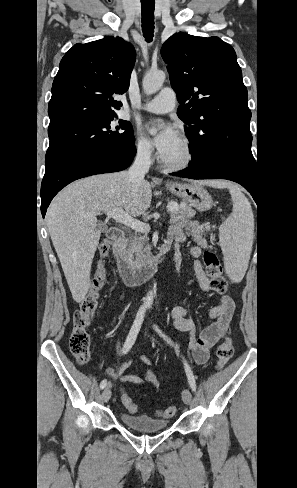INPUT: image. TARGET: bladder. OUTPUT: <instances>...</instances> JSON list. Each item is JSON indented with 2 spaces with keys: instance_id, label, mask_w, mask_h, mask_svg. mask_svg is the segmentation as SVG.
I'll list each match as a JSON object with an SVG mask.
<instances>
[{
  "instance_id": "1",
  "label": "bladder",
  "mask_w": 297,
  "mask_h": 488,
  "mask_svg": "<svg viewBox=\"0 0 297 488\" xmlns=\"http://www.w3.org/2000/svg\"><path fill=\"white\" fill-rule=\"evenodd\" d=\"M120 419L126 427L139 432H157L165 429L168 425L167 420L146 415L122 413Z\"/></svg>"
}]
</instances>
